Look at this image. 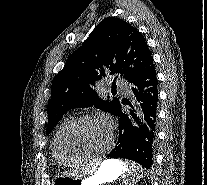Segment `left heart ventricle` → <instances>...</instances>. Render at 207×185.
Instances as JSON below:
<instances>
[{
	"label": "left heart ventricle",
	"instance_id": "b2bd125f",
	"mask_svg": "<svg viewBox=\"0 0 207 185\" xmlns=\"http://www.w3.org/2000/svg\"><path fill=\"white\" fill-rule=\"evenodd\" d=\"M75 143L88 151L99 152L111 143L109 125L103 120H90L82 123L75 132Z\"/></svg>",
	"mask_w": 207,
	"mask_h": 185
}]
</instances>
